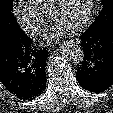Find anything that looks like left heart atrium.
Wrapping results in <instances>:
<instances>
[{
  "label": "left heart atrium",
  "mask_w": 113,
  "mask_h": 113,
  "mask_svg": "<svg viewBox=\"0 0 113 113\" xmlns=\"http://www.w3.org/2000/svg\"><path fill=\"white\" fill-rule=\"evenodd\" d=\"M68 29H69V28L64 27V26H62L61 24H59V23L56 22V23L51 27L50 32L47 33L46 39L52 40V39L59 38V37H61L62 35H64Z\"/></svg>",
  "instance_id": "left-heart-atrium-1"
}]
</instances>
